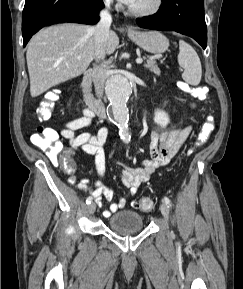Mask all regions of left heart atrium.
<instances>
[{
    "mask_svg": "<svg viewBox=\"0 0 243 289\" xmlns=\"http://www.w3.org/2000/svg\"><path fill=\"white\" fill-rule=\"evenodd\" d=\"M119 1L126 4V5H131L134 0H119Z\"/></svg>",
    "mask_w": 243,
    "mask_h": 289,
    "instance_id": "39dd6f15",
    "label": "left heart atrium"
}]
</instances>
